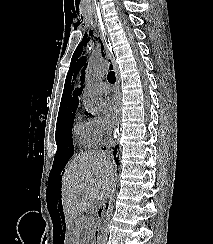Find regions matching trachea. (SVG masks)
<instances>
[{
	"label": "trachea",
	"instance_id": "1",
	"mask_svg": "<svg viewBox=\"0 0 213 244\" xmlns=\"http://www.w3.org/2000/svg\"><path fill=\"white\" fill-rule=\"evenodd\" d=\"M110 70H112V68ZM107 79L111 84H114L116 81L115 73L113 71H110L107 75Z\"/></svg>",
	"mask_w": 213,
	"mask_h": 244
}]
</instances>
